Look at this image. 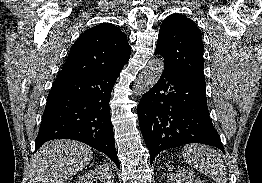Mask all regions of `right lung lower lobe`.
<instances>
[{"label": "right lung lower lobe", "mask_w": 262, "mask_h": 183, "mask_svg": "<svg viewBox=\"0 0 262 183\" xmlns=\"http://www.w3.org/2000/svg\"><path fill=\"white\" fill-rule=\"evenodd\" d=\"M120 71L57 77L47 98L35 151L52 139H74L103 152L120 168L109 109Z\"/></svg>", "instance_id": "right-lung-lower-lobe-1"}]
</instances>
